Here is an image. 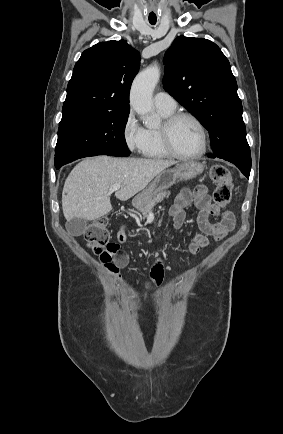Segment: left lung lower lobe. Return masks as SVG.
Instances as JSON below:
<instances>
[{
  "label": "left lung lower lobe",
  "mask_w": 283,
  "mask_h": 434,
  "mask_svg": "<svg viewBox=\"0 0 283 434\" xmlns=\"http://www.w3.org/2000/svg\"><path fill=\"white\" fill-rule=\"evenodd\" d=\"M241 172L247 177L249 178L250 175V170H251V163H237L236 165Z\"/></svg>",
  "instance_id": "obj_1"
}]
</instances>
